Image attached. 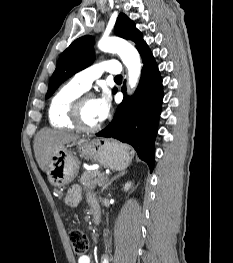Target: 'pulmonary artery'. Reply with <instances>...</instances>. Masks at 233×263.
Wrapping results in <instances>:
<instances>
[{
	"instance_id": "pulmonary-artery-1",
	"label": "pulmonary artery",
	"mask_w": 233,
	"mask_h": 263,
	"mask_svg": "<svg viewBox=\"0 0 233 263\" xmlns=\"http://www.w3.org/2000/svg\"><path fill=\"white\" fill-rule=\"evenodd\" d=\"M104 72L119 75L121 73L119 62L111 59L89 66L75 74L73 81L84 90H87L90 88L92 82L99 78Z\"/></svg>"
}]
</instances>
